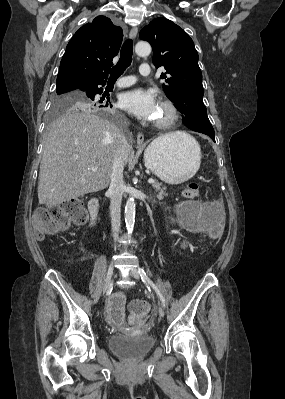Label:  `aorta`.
<instances>
[{"label":"aorta","mask_w":285,"mask_h":399,"mask_svg":"<svg viewBox=\"0 0 285 399\" xmlns=\"http://www.w3.org/2000/svg\"><path fill=\"white\" fill-rule=\"evenodd\" d=\"M135 52L139 56H147L151 53V46L148 42L140 41L135 46ZM135 199L129 197L125 205V224L128 233H132L135 223Z\"/></svg>","instance_id":"762f6f07"}]
</instances>
